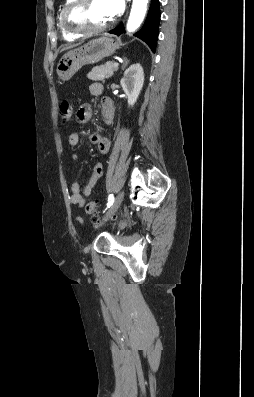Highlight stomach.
I'll return each mask as SVG.
<instances>
[{"instance_id": "stomach-1", "label": "stomach", "mask_w": 254, "mask_h": 397, "mask_svg": "<svg viewBox=\"0 0 254 397\" xmlns=\"http://www.w3.org/2000/svg\"><path fill=\"white\" fill-rule=\"evenodd\" d=\"M118 48L119 44L109 36L93 39L65 53L57 65V75L61 80L67 81L84 65L98 63L112 55Z\"/></svg>"}]
</instances>
